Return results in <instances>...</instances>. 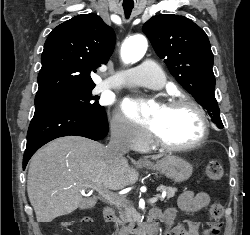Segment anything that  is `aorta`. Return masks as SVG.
Returning <instances> with one entry per match:
<instances>
[{
    "label": "aorta",
    "instance_id": "1",
    "mask_svg": "<svg viewBox=\"0 0 250 235\" xmlns=\"http://www.w3.org/2000/svg\"><path fill=\"white\" fill-rule=\"evenodd\" d=\"M147 47L145 38L132 37L123 43L121 54L127 62L137 61L144 56Z\"/></svg>",
    "mask_w": 250,
    "mask_h": 235
}]
</instances>
